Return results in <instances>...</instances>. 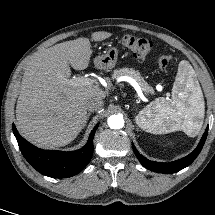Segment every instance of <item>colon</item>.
Returning a JSON list of instances; mask_svg holds the SVG:
<instances>
[{"instance_id":"obj_1","label":"colon","mask_w":215,"mask_h":215,"mask_svg":"<svg viewBox=\"0 0 215 215\" xmlns=\"http://www.w3.org/2000/svg\"><path fill=\"white\" fill-rule=\"evenodd\" d=\"M122 44L129 53L137 59L146 58L152 49V42L149 39L132 35L124 36ZM171 60V54L164 53L158 57L157 62L161 69H165L170 64Z\"/></svg>"}]
</instances>
